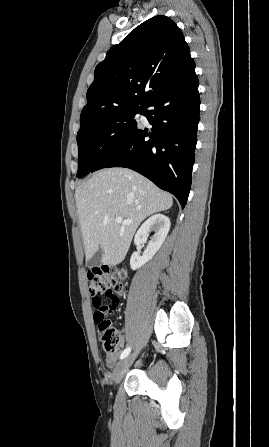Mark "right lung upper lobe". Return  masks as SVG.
<instances>
[{"instance_id":"obj_1","label":"right lung upper lobe","mask_w":269,"mask_h":447,"mask_svg":"<svg viewBox=\"0 0 269 447\" xmlns=\"http://www.w3.org/2000/svg\"><path fill=\"white\" fill-rule=\"evenodd\" d=\"M192 61L184 36L171 19L158 15L146 20L96 66L80 126L106 112L144 104Z\"/></svg>"}]
</instances>
